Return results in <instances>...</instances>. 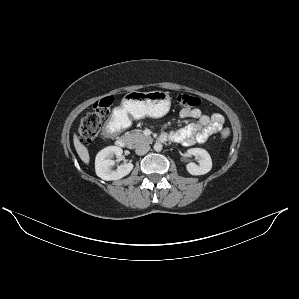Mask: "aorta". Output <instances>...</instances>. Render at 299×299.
Returning a JSON list of instances; mask_svg holds the SVG:
<instances>
[{
  "label": "aorta",
  "mask_w": 299,
  "mask_h": 299,
  "mask_svg": "<svg viewBox=\"0 0 299 299\" xmlns=\"http://www.w3.org/2000/svg\"><path fill=\"white\" fill-rule=\"evenodd\" d=\"M153 148L156 152H160L163 148V145L161 143L157 142L154 144Z\"/></svg>",
  "instance_id": "762f6f07"
}]
</instances>
